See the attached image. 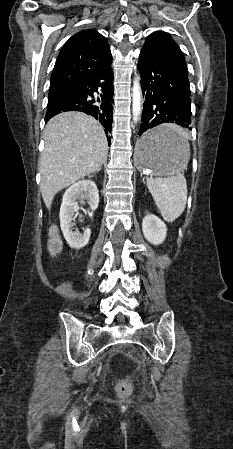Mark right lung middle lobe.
Listing matches in <instances>:
<instances>
[{
	"mask_svg": "<svg viewBox=\"0 0 233 449\" xmlns=\"http://www.w3.org/2000/svg\"><path fill=\"white\" fill-rule=\"evenodd\" d=\"M76 94V90L73 87H63L50 90L48 95V105L75 97Z\"/></svg>",
	"mask_w": 233,
	"mask_h": 449,
	"instance_id": "1",
	"label": "right lung middle lobe"
}]
</instances>
